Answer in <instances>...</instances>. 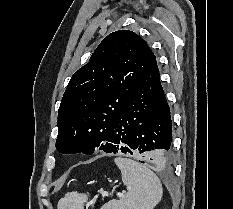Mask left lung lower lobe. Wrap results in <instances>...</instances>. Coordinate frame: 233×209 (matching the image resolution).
I'll list each match as a JSON object with an SVG mask.
<instances>
[{"instance_id":"1","label":"left lung lower lobe","mask_w":233,"mask_h":209,"mask_svg":"<svg viewBox=\"0 0 233 209\" xmlns=\"http://www.w3.org/2000/svg\"><path fill=\"white\" fill-rule=\"evenodd\" d=\"M171 140L170 108L155 59L112 123L101 150L131 155L144 153L141 163L163 165L169 160Z\"/></svg>"}]
</instances>
